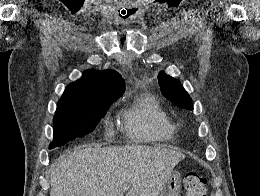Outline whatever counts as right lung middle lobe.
Wrapping results in <instances>:
<instances>
[{"label":"right lung middle lobe","mask_w":260,"mask_h":196,"mask_svg":"<svg viewBox=\"0 0 260 196\" xmlns=\"http://www.w3.org/2000/svg\"><path fill=\"white\" fill-rule=\"evenodd\" d=\"M109 106H57L53 119V142L49 148L62 146L92 132Z\"/></svg>","instance_id":"right-lung-middle-lobe-1"}]
</instances>
